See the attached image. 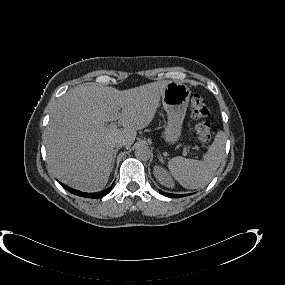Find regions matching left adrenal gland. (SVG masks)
<instances>
[{"mask_svg":"<svg viewBox=\"0 0 285 285\" xmlns=\"http://www.w3.org/2000/svg\"><path fill=\"white\" fill-rule=\"evenodd\" d=\"M158 158H159L160 161H163V157H162L160 152H158Z\"/></svg>","mask_w":285,"mask_h":285,"instance_id":"left-adrenal-gland-1","label":"left adrenal gland"}]
</instances>
